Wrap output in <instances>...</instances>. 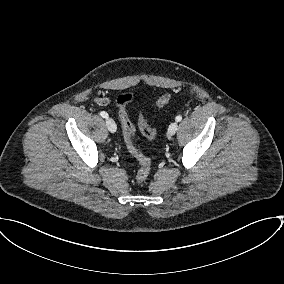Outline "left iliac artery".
I'll return each instance as SVG.
<instances>
[{
	"mask_svg": "<svg viewBox=\"0 0 284 284\" xmlns=\"http://www.w3.org/2000/svg\"><path fill=\"white\" fill-rule=\"evenodd\" d=\"M175 119H176V121H177V122H179V121H181V120H182V116H181V115H178V116H176V118H175Z\"/></svg>",
	"mask_w": 284,
	"mask_h": 284,
	"instance_id": "1",
	"label": "left iliac artery"
}]
</instances>
